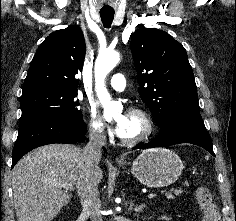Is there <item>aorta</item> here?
Instances as JSON below:
<instances>
[{
  "label": "aorta",
  "instance_id": "762f6f07",
  "mask_svg": "<svg viewBox=\"0 0 236 221\" xmlns=\"http://www.w3.org/2000/svg\"><path fill=\"white\" fill-rule=\"evenodd\" d=\"M119 53L107 51L100 53L95 62V85L98 98L104 109V116L107 119L115 118L122 112V105L112 101L104 80L106 75L118 64Z\"/></svg>",
  "mask_w": 236,
  "mask_h": 221
}]
</instances>
